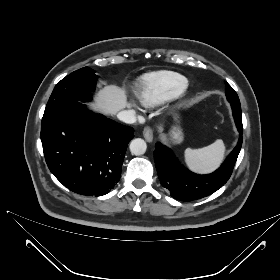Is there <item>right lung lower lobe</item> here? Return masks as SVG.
<instances>
[{"instance_id":"1","label":"right lung lower lobe","mask_w":280,"mask_h":280,"mask_svg":"<svg viewBox=\"0 0 280 280\" xmlns=\"http://www.w3.org/2000/svg\"><path fill=\"white\" fill-rule=\"evenodd\" d=\"M133 132L77 101L46 108L41 123L48 168L65 187L86 196L107 194L118 183Z\"/></svg>"}]
</instances>
